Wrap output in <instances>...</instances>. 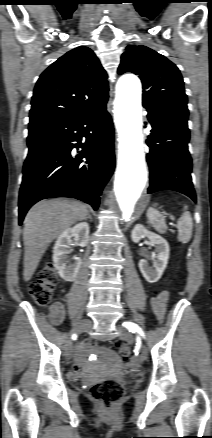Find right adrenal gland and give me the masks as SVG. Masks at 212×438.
Returning <instances> with one entry per match:
<instances>
[{
  "mask_svg": "<svg viewBox=\"0 0 212 438\" xmlns=\"http://www.w3.org/2000/svg\"><path fill=\"white\" fill-rule=\"evenodd\" d=\"M87 219H90V220H92V217H91V214H90V212L88 213V215H87V217H86V219H85V220H87Z\"/></svg>",
  "mask_w": 212,
  "mask_h": 438,
  "instance_id": "2a0ac1e0",
  "label": "right adrenal gland"
}]
</instances>
